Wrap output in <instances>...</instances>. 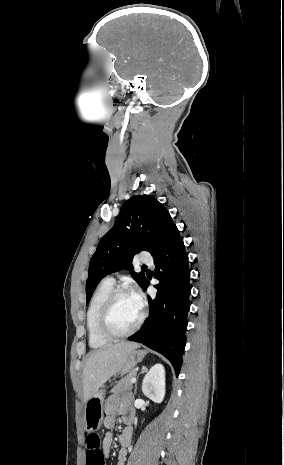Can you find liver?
<instances>
[{
	"mask_svg": "<svg viewBox=\"0 0 284 465\" xmlns=\"http://www.w3.org/2000/svg\"><path fill=\"white\" fill-rule=\"evenodd\" d=\"M138 347L137 343H118L104 351L89 353L83 369V403L97 393L110 377L121 371L128 353Z\"/></svg>",
	"mask_w": 284,
	"mask_h": 465,
	"instance_id": "1",
	"label": "liver"
}]
</instances>
